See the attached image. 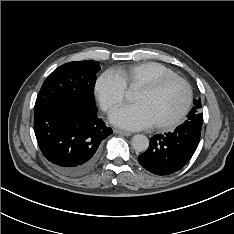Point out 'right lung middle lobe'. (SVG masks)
Instances as JSON below:
<instances>
[{"instance_id": "1", "label": "right lung middle lobe", "mask_w": 234, "mask_h": 234, "mask_svg": "<svg viewBox=\"0 0 234 234\" xmlns=\"http://www.w3.org/2000/svg\"><path fill=\"white\" fill-rule=\"evenodd\" d=\"M97 61H74L55 69L44 81L35 102L34 110L56 101H72L93 108V89Z\"/></svg>"}]
</instances>
